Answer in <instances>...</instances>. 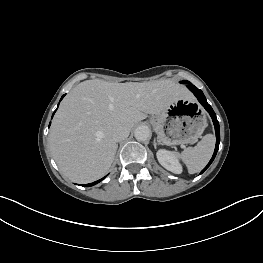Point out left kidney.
<instances>
[{"label":"left kidney","mask_w":263,"mask_h":263,"mask_svg":"<svg viewBox=\"0 0 263 263\" xmlns=\"http://www.w3.org/2000/svg\"><path fill=\"white\" fill-rule=\"evenodd\" d=\"M159 163L167 170L180 174L182 172V166L179 163L176 155L168 150L160 149L156 153Z\"/></svg>","instance_id":"5707ae66"}]
</instances>
